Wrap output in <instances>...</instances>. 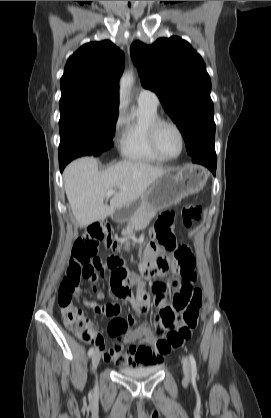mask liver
Returning <instances> with one entry per match:
<instances>
[{
    "instance_id": "liver-1",
    "label": "liver",
    "mask_w": 271,
    "mask_h": 418,
    "mask_svg": "<svg viewBox=\"0 0 271 418\" xmlns=\"http://www.w3.org/2000/svg\"><path fill=\"white\" fill-rule=\"evenodd\" d=\"M166 173V169L131 160L119 162L101 173L95 158L83 157L66 167L64 188L74 217L80 226L87 227L136 201ZM111 189L118 192L107 205L104 201Z\"/></svg>"
}]
</instances>
